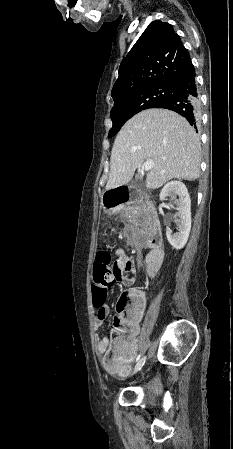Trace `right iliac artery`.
<instances>
[{
	"mask_svg": "<svg viewBox=\"0 0 233 449\" xmlns=\"http://www.w3.org/2000/svg\"><path fill=\"white\" fill-rule=\"evenodd\" d=\"M144 358L146 359V356H144ZM139 359H140V355L137 356L136 362H137V361L139 362Z\"/></svg>",
	"mask_w": 233,
	"mask_h": 449,
	"instance_id": "82829eb1",
	"label": "right iliac artery"
}]
</instances>
